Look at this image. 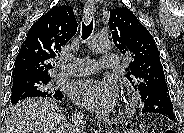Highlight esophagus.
Masks as SVG:
<instances>
[{
  "mask_svg": "<svg viewBox=\"0 0 184 133\" xmlns=\"http://www.w3.org/2000/svg\"><path fill=\"white\" fill-rule=\"evenodd\" d=\"M95 13V5L93 1H87L84 6V16L86 21H89Z\"/></svg>",
  "mask_w": 184,
  "mask_h": 133,
  "instance_id": "esophagus-1",
  "label": "esophagus"
}]
</instances>
